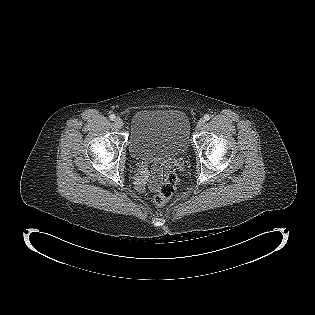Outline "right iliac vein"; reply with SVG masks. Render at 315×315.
<instances>
[{"label":"right iliac vein","instance_id":"1","mask_svg":"<svg viewBox=\"0 0 315 315\" xmlns=\"http://www.w3.org/2000/svg\"><path fill=\"white\" fill-rule=\"evenodd\" d=\"M115 125L117 128L121 129L124 126V122L121 118H116L115 119Z\"/></svg>","mask_w":315,"mask_h":315}]
</instances>
